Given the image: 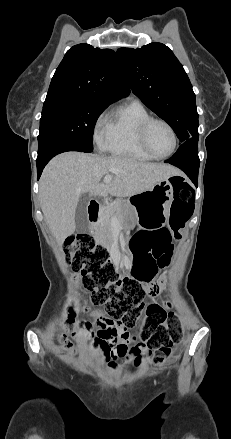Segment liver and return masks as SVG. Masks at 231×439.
<instances>
[{"label": "liver", "instance_id": "obj_1", "mask_svg": "<svg viewBox=\"0 0 231 439\" xmlns=\"http://www.w3.org/2000/svg\"><path fill=\"white\" fill-rule=\"evenodd\" d=\"M115 175L100 184L104 176ZM180 171L166 164L144 163L125 157H99L67 152L54 157L39 182V198L46 223L59 243L75 232V212L81 194L128 197L150 190Z\"/></svg>", "mask_w": 231, "mask_h": 439}]
</instances>
